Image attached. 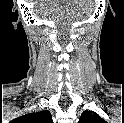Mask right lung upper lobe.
<instances>
[{
    "label": "right lung upper lobe",
    "instance_id": "obj_1",
    "mask_svg": "<svg viewBox=\"0 0 124 123\" xmlns=\"http://www.w3.org/2000/svg\"><path fill=\"white\" fill-rule=\"evenodd\" d=\"M18 123H53L49 111H39L25 114L15 119Z\"/></svg>",
    "mask_w": 124,
    "mask_h": 123
}]
</instances>
